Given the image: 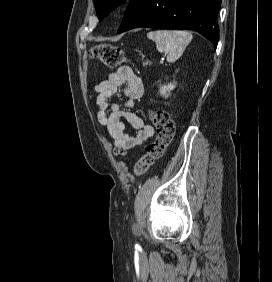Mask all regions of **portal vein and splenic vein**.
I'll list each match as a JSON object with an SVG mask.
<instances>
[{"instance_id":"obj_1","label":"portal vein and splenic vein","mask_w":272,"mask_h":282,"mask_svg":"<svg viewBox=\"0 0 272 282\" xmlns=\"http://www.w3.org/2000/svg\"><path fill=\"white\" fill-rule=\"evenodd\" d=\"M164 60V58H161V62Z\"/></svg>"}]
</instances>
